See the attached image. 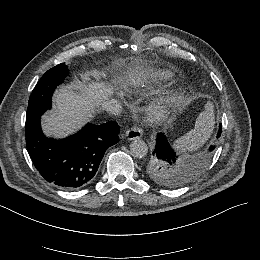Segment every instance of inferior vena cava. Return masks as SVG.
Returning a JSON list of instances; mask_svg holds the SVG:
<instances>
[{"label":"inferior vena cava","mask_w":260,"mask_h":260,"mask_svg":"<svg viewBox=\"0 0 260 260\" xmlns=\"http://www.w3.org/2000/svg\"><path fill=\"white\" fill-rule=\"evenodd\" d=\"M102 109L108 114H119L122 106L116 99H111L102 103Z\"/></svg>","instance_id":"obj_1"}]
</instances>
